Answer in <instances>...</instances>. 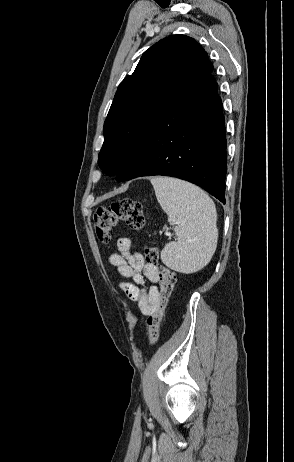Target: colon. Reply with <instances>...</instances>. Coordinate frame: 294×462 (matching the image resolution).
I'll return each mask as SVG.
<instances>
[{
	"label": "colon",
	"mask_w": 294,
	"mask_h": 462,
	"mask_svg": "<svg viewBox=\"0 0 294 462\" xmlns=\"http://www.w3.org/2000/svg\"><path fill=\"white\" fill-rule=\"evenodd\" d=\"M118 222L138 230L145 224V217L141 205L131 199H123L111 203L107 207L99 208L94 215L95 233L102 243L110 241ZM147 263L153 264L158 270L159 303L155 312L147 321L148 340L154 344L159 339L160 325L168 301L176 285L175 273L159 264V252L156 248L148 247L145 251Z\"/></svg>",
	"instance_id": "1"
}]
</instances>
